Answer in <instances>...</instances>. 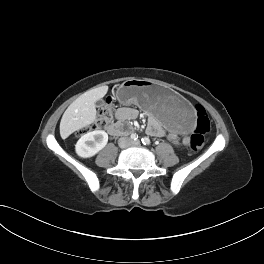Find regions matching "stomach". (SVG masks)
I'll use <instances>...</instances> for the list:
<instances>
[{"mask_svg": "<svg viewBox=\"0 0 264 264\" xmlns=\"http://www.w3.org/2000/svg\"><path fill=\"white\" fill-rule=\"evenodd\" d=\"M126 103L137 105L178 136H189L195 128V116L188 103L170 88L150 79H129L119 88Z\"/></svg>", "mask_w": 264, "mask_h": 264, "instance_id": "stomach-1", "label": "stomach"}]
</instances>
